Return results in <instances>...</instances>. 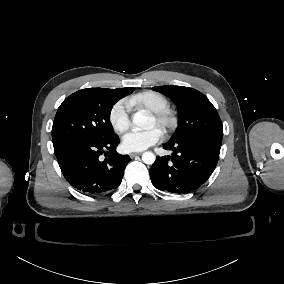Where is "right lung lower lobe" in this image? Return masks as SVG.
Here are the masks:
<instances>
[{"instance_id":"obj_1","label":"right lung lower lobe","mask_w":284,"mask_h":284,"mask_svg":"<svg viewBox=\"0 0 284 284\" xmlns=\"http://www.w3.org/2000/svg\"><path fill=\"white\" fill-rule=\"evenodd\" d=\"M115 134L106 140H77L55 148V155L66 180L84 194H104L116 189L131 160L120 155ZM106 158L102 161L101 155Z\"/></svg>"}]
</instances>
